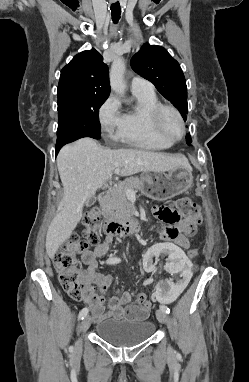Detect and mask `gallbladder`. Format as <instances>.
<instances>
[{
  "label": "gallbladder",
  "instance_id": "gallbladder-1",
  "mask_svg": "<svg viewBox=\"0 0 249 382\" xmlns=\"http://www.w3.org/2000/svg\"><path fill=\"white\" fill-rule=\"evenodd\" d=\"M96 202V197H91L90 199H88L85 203L86 207H91L95 204Z\"/></svg>",
  "mask_w": 249,
  "mask_h": 382
}]
</instances>
